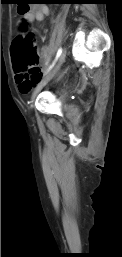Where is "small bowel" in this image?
<instances>
[{"mask_svg": "<svg viewBox=\"0 0 122 257\" xmlns=\"http://www.w3.org/2000/svg\"><path fill=\"white\" fill-rule=\"evenodd\" d=\"M50 14V10L45 5H38L32 8L29 12L24 14V18L18 22V27H22L25 22L42 21L46 16ZM51 55L48 50L44 48L42 50V68H40V74L35 78H28L23 73H16V83L18 89L22 94H28L34 84H36L41 76L43 68L47 67L50 63Z\"/></svg>", "mask_w": 122, "mask_h": 257, "instance_id": "c3829d8e", "label": "small bowel"}]
</instances>
